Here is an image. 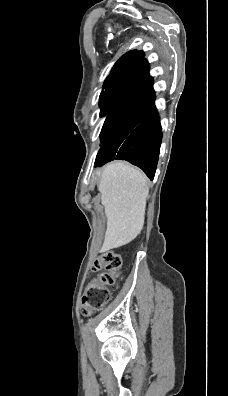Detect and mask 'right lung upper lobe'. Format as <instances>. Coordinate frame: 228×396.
<instances>
[{"mask_svg": "<svg viewBox=\"0 0 228 396\" xmlns=\"http://www.w3.org/2000/svg\"><path fill=\"white\" fill-rule=\"evenodd\" d=\"M138 71H146L144 53L137 50L129 51L115 63L105 81Z\"/></svg>", "mask_w": 228, "mask_h": 396, "instance_id": "right-lung-upper-lobe-1", "label": "right lung upper lobe"}]
</instances>
